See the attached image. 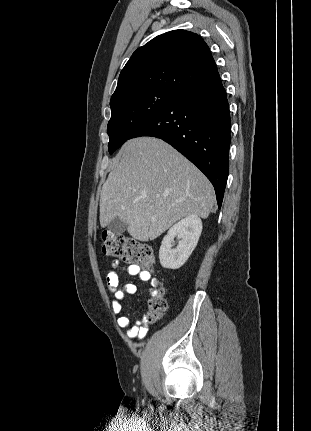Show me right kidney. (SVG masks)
I'll return each mask as SVG.
<instances>
[{
  "label": "right kidney",
  "instance_id": "right-kidney-1",
  "mask_svg": "<svg viewBox=\"0 0 311 431\" xmlns=\"http://www.w3.org/2000/svg\"><path fill=\"white\" fill-rule=\"evenodd\" d=\"M201 231L202 221L198 216L183 217L178 223H174L167 235H164L160 245L159 259L161 265L169 267V269L181 267L196 247ZM174 237L179 239L176 247H172Z\"/></svg>",
  "mask_w": 311,
  "mask_h": 431
}]
</instances>
